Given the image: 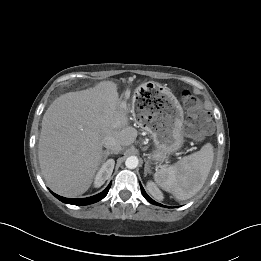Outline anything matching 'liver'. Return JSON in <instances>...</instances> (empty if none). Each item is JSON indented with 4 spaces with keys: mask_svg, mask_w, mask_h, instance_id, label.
<instances>
[{
    "mask_svg": "<svg viewBox=\"0 0 261 261\" xmlns=\"http://www.w3.org/2000/svg\"><path fill=\"white\" fill-rule=\"evenodd\" d=\"M127 113L111 81L55 99L43 116L38 144L48 187L67 197L85 193L102 163L104 138L112 136L122 146L136 140Z\"/></svg>",
    "mask_w": 261,
    "mask_h": 261,
    "instance_id": "6515ba94",
    "label": "liver"
}]
</instances>
